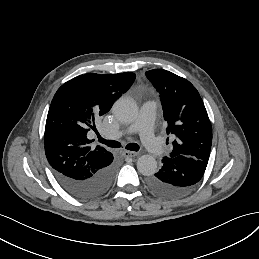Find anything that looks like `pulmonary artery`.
Returning a JSON list of instances; mask_svg holds the SVG:
<instances>
[{
    "label": "pulmonary artery",
    "instance_id": "obj_1",
    "mask_svg": "<svg viewBox=\"0 0 259 259\" xmlns=\"http://www.w3.org/2000/svg\"><path fill=\"white\" fill-rule=\"evenodd\" d=\"M159 106L158 101H148L144 103L138 114L136 115L137 119H143L145 118L148 113H152L153 115L156 114L157 109ZM129 123H127V127L125 130H107L101 133V137L108 140L118 139L120 138L124 133H131L133 131V128L131 126H128Z\"/></svg>",
    "mask_w": 259,
    "mask_h": 259
}]
</instances>
